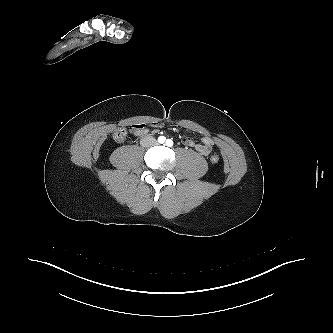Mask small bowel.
Wrapping results in <instances>:
<instances>
[{
	"label": "small bowel",
	"instance_id": "obj_1",
	"mask_svg": "<svg viewBox=\"0 0 333 333\" xmlns=\"http://www.w3.org/2000/svg\"><path fill=\"white\" fill-rule=\"evenodd\" d=\"M152 125L159 127L161 124L154 122ZM131 132L135 136H142L147 133V128L144 124H136L131 126ZM182 142L187 147H194L201 155L207 156L212 152V140L209 137H203L202 142L199 144H195L194 141L188 137L183 138Z\"/></svg>",
	"mask_w": 333,
	"mask_h": 333
}]
</instances>
